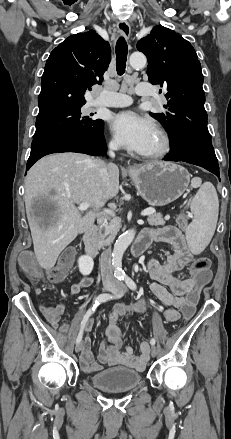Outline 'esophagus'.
Here are the masks:
<instances>
[{"label":"esophagus","mask_w":231,"mask_h":439,"mask_svg":"<svg viewBox=\"0 0 231 439\" xmlns=\"http://www.w3.org/2000/svg\"><path fill=\"white\" fill-rule=\"evenodd\" d=\"M117 29H118V32L121 35H123L126 40H128L130 38L131 28H130L129 23L126 20H119L117 23ZM128 170L134 171V167L129 166Z\"/></svg>","instance_id":"obj_1"}]
</instances>
